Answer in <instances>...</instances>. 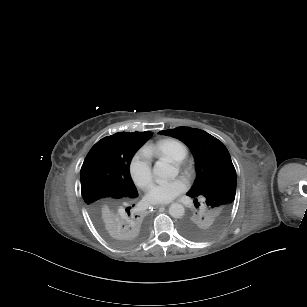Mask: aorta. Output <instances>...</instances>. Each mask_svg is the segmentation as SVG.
I'll use <instances>...</instances> for the list:
<instances>
[{
	"label": "aorta",
	"instance_id": "762f6f07",
	"mask_svg": "<svg viewBox=\"0 0 307 307\" xmlns=\"http://www.w3.org/2000/svg\"><path fill=\"white\" fill-rule=\"evenodd\" d=\"M152 174L159 179H174L178 175V169L172 166L167 159L157 161L152 169ZM185 213L184 206L173 203L169 207V214L173 218H182Z\"/></svg>",
	"mask_w": 307,
	"mask_h": 307
}]
</instances>
